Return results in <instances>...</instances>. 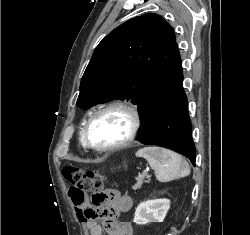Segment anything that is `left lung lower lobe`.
<instances>
[{
	"label": "left lung lower lobe",
	"mask_w": 250,
	"mask_h": 235,
	"mask_svg": "<svg viewBox=\"0 0 250 235\" xmlns=\"http://www.w3.org/2000/svg\"><path fill=\"white\" fill-rule=\"evenodd\" d=\"M182 82L181 58L175 42L138 103L143 122L138 141L171 149L195 165L196 150Z\"/></svg>",
	"instance_id": "0a47b994"
}]
</instances>
